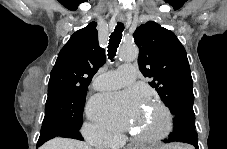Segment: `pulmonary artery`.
Segmentation results:
<instances>
[{"instance_id": "pulmonary-artery-1", "label": "pulmonary artery", "mask_w": 227, "mask_h": 149, "mask_svg": "<svg viewBox=\"0 0 227 149\" xmlns=\"http://www.w3.org/2000/svg\"><path fill=\"white\" fill-rule=\"evenodd\" d=\"M136 67L122 65L117 70L98 75L93 83L97 90H114L134 82Z\"/></svg>"}]
</instances>
